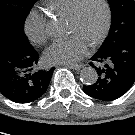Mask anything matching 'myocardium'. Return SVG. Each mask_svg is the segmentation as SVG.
Wrapping results in <instances>:
<instances>
[{"label":"myocardium","instance_id":"1","mask_svg":"<svg viewBox=\"0 0 135 135\" xmlns=\"http://www.w3.org/2000/svg\"><path fill=\"white\" fill-rule=\"evenodd\" d=\"M87 1L88 0H80L76 4L73 12L68 17L69 21L77 23L80 20V16H81L83 6L85 5V3ZM99 1H100V3L102 4V7H103L104 18H103V24H102V27H101L100 31L90 42V45H92V46L97 45L98 43H100L105 38V36L107 35L108 30L110 28V24H111V8H110V4H109L108 0H99Z\"/></svg>","mask_w":135,"mask_h":135}]
</instances>
